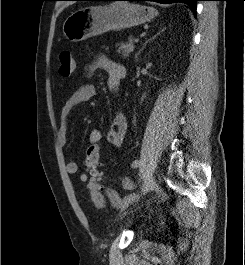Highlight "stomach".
<instances>
[{"label": "stomach", "instance_id": "stomach-1", "mask_svg": "<svg viewBox=\"0 0 245 265\" xmlns=\"http://www.w3.org/2000/svg\"><path fill=\"white\" fill-rule=\"evenodd\" d=\"M158 12L153 7L119 2L108 6H87L69 15L63 23V34L79 42L110 30H121L144 24Z\"/></svg>", "mask_w": 245, "mask_h": 265}]
</instances>
